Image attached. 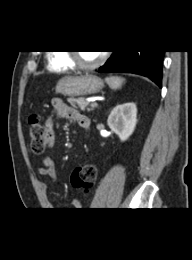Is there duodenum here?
<instances>
[{
  "label": "duodenum",
  "mask_w": 192,
  "mask_h": 260,
  "mask_svg": "<svg viewBox=\"0 0 192 260\" xmlns=\"http://www.w3.org/2000/svg\"><path fill=\"white\" fill-rule=\"evenodd\" d=\"M81 126L87 129L89 127V122H83Z\"/></svg>",
  "instance_id": "410a0bca"
}]
</instances>
